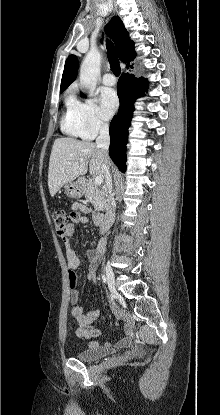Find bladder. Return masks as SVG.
<instances>
[{"mask_svg": "<svg viewBox=\"0 0 220 415\" xmlns=\"http://www.w3.org/2000/svg\"><path fill=\"white\" fill-rule=\"evenodd\" d=\"M110 354L111 353L108 352L106 348H103L100 346H96V347L88 346L87 348L81 350L78 353L77 358L82 361H95V360L104 358Z\"/></svg>", "mask_w": 220, "mask_h": 415, "instance_id": "bladder-1", "label": "bladder"}]
</instances>
